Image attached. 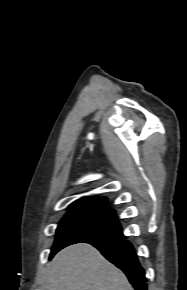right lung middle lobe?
<instances>
[{"instance_id":"dd1d6c3e","label":"right lung middle lobe","mask_w":187,"mask_h":290,"mask_svg":"<svg viewBox=\"0 0 187 290\" xmlns=\"http://www.w3.org/2000/svg\"><path fill=\"white\" fill-rule=\"evenodd\" d=\"M121 232L116 215L102 209L70 210L59 223L50 258L62 248Z\"/></svg>"}]
</instances>
